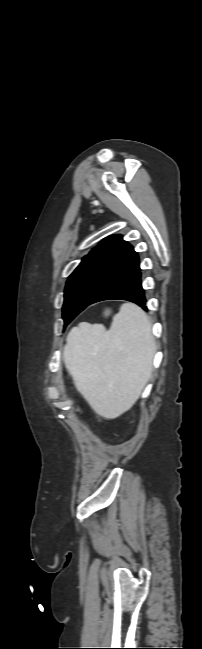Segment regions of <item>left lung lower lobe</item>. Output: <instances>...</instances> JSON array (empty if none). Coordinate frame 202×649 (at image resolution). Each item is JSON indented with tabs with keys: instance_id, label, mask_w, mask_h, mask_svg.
I'll return each instance as SVG.
<instances>
[{
	"instance_id": "left-lung-lower-lobe-1",
	"label": "left lung lower lobe",
	"mask_w": 202,
	"mask_h": 649,
	"mask_svg": "<svg viewBox=\"0 0 202 649\" xmlns=\"http://www.w3.org/2000/svg\"><path fill=\"white\" fill-rule=\"evenodd\" d=\"M141 268L137 252H129L88 305L103 300H127L147 311L145 291L141 284Z\"/></svg>"
}]
</instances>
